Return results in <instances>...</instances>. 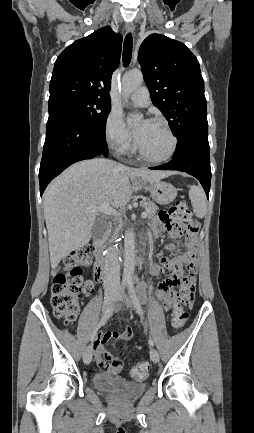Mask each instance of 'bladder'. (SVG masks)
I'll return each mask as SVG.
<instances>
[{
	"label": "bladder",
	"mask_w": 254,
	"mask_h": 433,
	"mask_svg": "<svg viewBox=\"0 0 254 433\" xmlns=\"http://www.w3.org/2000/svg\"><path fill=\"white\" fill-rule=\"evenodd\" d=\"M94 386L107 394H118L125 398H132L140 394L144 383L129 382L124 378H112L107 375L98 374L93 378Z\"/></svg>",
	"instance_id": "31cf9c89"
}]
</instances>
